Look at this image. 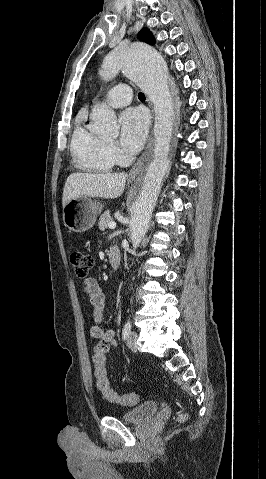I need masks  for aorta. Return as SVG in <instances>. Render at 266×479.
I'll list each match as a JSON object with an SVG mask.
<instances>
[{
  "instance_id": "762f6f07",
  "label": "aorta",
  "mask_w": 266,
  "mask_h": 479,
  "mask_svg": "<svg viewBox=\"0 0 266 479\" xmlns=\"http://www.w3.org/2000/svg\"><path fill=\"white\" fill-rule=\"evenodd\" d=\"M121 70L148 95L155 111L154 147L129 206L131 239L140 242L149 227L169 165L176 108L169 89L170 76L166 62L154 48L138 42L125 48H115L105 57L100 75L109 80ZM92 130L101 134H118L119 126L114 112L105 105L100 106L92 115Z\"/></svg>"
}]
</instances>
